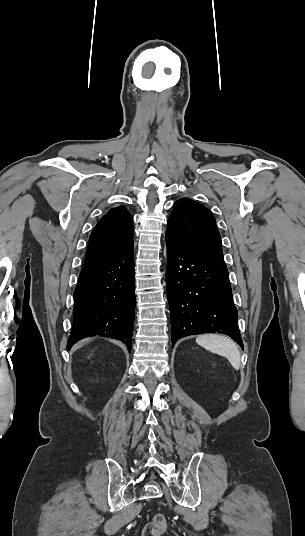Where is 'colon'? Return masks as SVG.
<instances>
[{"instance_id": "colon-1", "label": "colon", "mask_w": 305, "mask_h": 536, "mask_svg": "<svg viewBox=\"0 0 305 536\" xmlns=\"http://www.w3.org/2000/svg\"><path fill=\"white\" fill-rule=\"evenodd\" d=\"M167 518L163 514H156L152 517L142 531V536H164L167 530Z\"/></svg>"}]
</instances>
